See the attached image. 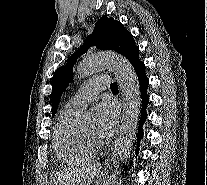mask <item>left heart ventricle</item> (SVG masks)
Masks as SVG:
<instances>
[{"mask_svg":"<svg viewBox=\"0 0 207 185\" xmlns=\"http://www.w3.org/2000/svg\"><path fill=\"white\" fill-rule=\"evenodd\" d=\"M86 133H89V134H91V133H94V126H92V127H89L88 129H86V130H84Z\"/></svg>","mask_w":207,"mask_h":185,"instance_id":"1","label":"left heart ventricle"}]
</instances>
